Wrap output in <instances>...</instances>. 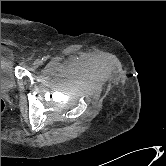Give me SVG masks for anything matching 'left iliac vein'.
<instances>
[{"mask_svg":"<svg viewBox=\"0 0 166 166\" xmlns=\"http://www.w3.org/2000/svg\"><path fill=\"white\" fill-rule=\"evenodd\" d=\"M41 63H42L41 60H39V59L35 60L34 64H33L34 68H38L41 65Z\"/></svg>","mask_w":166,"mask_h":166,"instance_id":"1","label":"left iliac vein"}]
</instances>
